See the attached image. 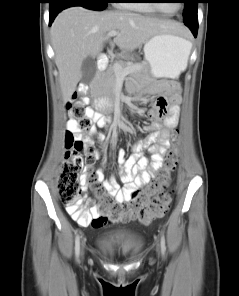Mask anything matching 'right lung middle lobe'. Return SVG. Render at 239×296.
Returning <instances> with one entry per match:
<instances>
[{
  "mask_svg": "<svg viewBox=\"0 0 239 296\" xmlns=\"http://www.w3.org/2000/svg\"><path fill=\"white\" fill-rule=\"evenodd\" d=\"M55 0H49V3L51 4ZM64 4H66L67 7L71 6H82L88 9L92 10H104L106 8L107 3L110 2V0H63Z\"/></svg>",
  "mask_w": 239,
  "mask_h": 296,
  "instance_id": "dd1d6c3e",
  "label": "right lung middle lobe"
}]
</instances>
